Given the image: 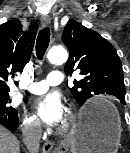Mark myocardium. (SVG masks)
<instances>
[{"instance_id": "1", "label": "myocardium", "mask_w": 130, "mask_h": 153, "mask_svg": "<svg viewBox=\"0 0 130 153\" xmlns=\"http://www.w3.org/2000/svg\"><path fill=\"white\" fill-rule=\"evenodd\" d=\"M75 119H76L75 114L71 110H68L66 117L63 123L61 124L60 127L61 131H67L74 124Z\"/></svg>"}]
</instances>
